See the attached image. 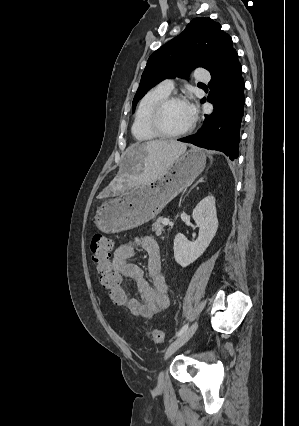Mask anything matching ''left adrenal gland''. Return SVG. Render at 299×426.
I'll return each instance as SVG.
<instances>
[{"instance_id": "left-adrenal-gland-1", "label": "left adrenal gland", "mask_w": 299, "mask_h": 426, "mask_svg": "<svg viewBox=\"0 0 299 426\" xmlns=\"http://www.w3.org/2000/svg\"><path fill=\"white\" fill-rule=\"evenodd\" d=\"M202 182H204V177H201L191 188H190V190H189V192H188V194L191 192V190L193 189V188H195L199 183H202ZM187 194V195H188Z\"/></svg>"}]
</instances>
